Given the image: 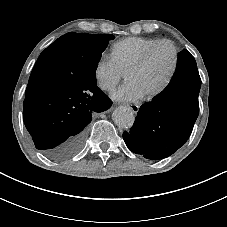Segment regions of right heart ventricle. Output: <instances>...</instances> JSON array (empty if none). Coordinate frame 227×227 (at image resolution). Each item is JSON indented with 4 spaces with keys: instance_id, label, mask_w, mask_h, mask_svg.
Instances as JSON below:
<instances>
[{
    "instance_id": "e07e8e85",
    "label": "right heart ventricle",
    "mask_w": 227,
    "mask_h": 227,
    "mask_svg": "<svg viewBox=\"0 0 227 227\" xmlns=\"http://www.w3.org/2000/svg\"><path fill=\"white\" fill-rule=\"evenodd\" d=\"M157 39L143 37H127L116 42L111 51V58L123 72L135 64L145 50Z\"/></svg>"
}]
</instances>
